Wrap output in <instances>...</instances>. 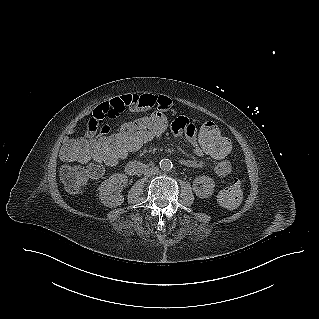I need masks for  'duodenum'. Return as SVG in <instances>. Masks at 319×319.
<instances>
[{"label":"duodenum","mask_w":319,"mask_h":319,"mask_svg":"<svg viewBox=\"0 0 319 319\" xmlns=\"http://www.w3.org/2000/svg\"><path fill=\"white\" fill-rule=\"evenodd\" d=\"M150 167L149 164L131 161L126 165V172L131 176H137L149 170Z\"/></svg>","instance_id":"duodenum-1"}]
</instances>
